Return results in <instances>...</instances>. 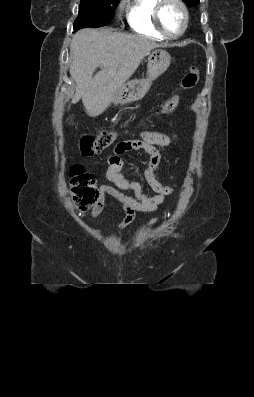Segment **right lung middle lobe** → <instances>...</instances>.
Wrapping results in <instances>:
<instances>
[{
	"label": "right lung middle lobe",
	"instance_id": "right-lung-middle-lobe-1",
	"mask_svg": "<svg viewBox=\"0 0 254 397\" xmlns=\"http://www.w3.org/2000/svg\"><path fill=\"white\" fill-rule=\"evenodd\" d=\"M120 0H81L74 31L85 27H101L110 23Z\"/></svg>",
	"mask_w": 254,
	"mask_h": 397
}]
</instances>
